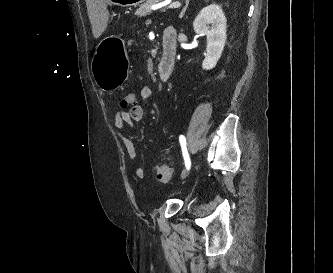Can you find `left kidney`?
Returning a JSON list of instances; mask_svg holds the SVG:
<instances>
[{"mask_svg":"<svg viewBox=\"0 0 333 273\" xmlns=\"http://www.w3.org/2000/svg\"><path fill=\"white\" fill-rule=\"evenodd\" d=\"M226 17L222 8L211 4L203 8L193 22L194 31L207 37V48L202 68L213 69L223 52L226 35Z\"/></svg>","mask_w":333,"mask_h":273,"instance_id":"left-kidney-1","label":"left kidney"}]
</instances>
